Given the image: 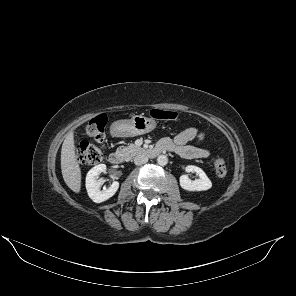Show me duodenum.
I'll list each match as a JSON object with an SVG mask.
<instances>
[{
  "mask_svg": "<svg viewBox=\"0 0 296 296\" xmlns=\"http://www.w3.org/2000/svg\"><path fill=\"white\" fill-rule=\"evenodd\" d=\"M167 151L165 147L158 145L155 147L147 148L145 150V153L148 157L154 158L160 155L161 153ZM109 161L113 165H120L124 161V155L121 152L115 151L110 153L109 155Z\"/></svg>",
  "mask_w": 296,
  "mask_h": 296,
  "instance_id": "obj_1",
  "label": "duodenum"
}]
</instances>
